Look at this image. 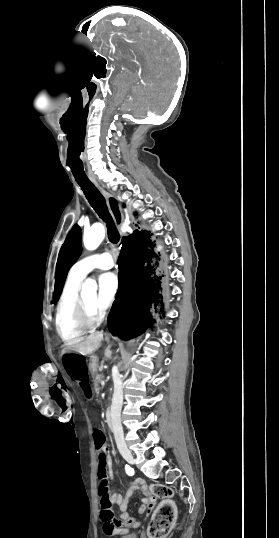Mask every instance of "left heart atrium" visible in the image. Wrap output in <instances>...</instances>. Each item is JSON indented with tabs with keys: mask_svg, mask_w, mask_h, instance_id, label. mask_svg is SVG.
<instances>
[{
	"mask_svg": "<svg viewBox=\"0 0 279 538\" xmlns=\"http://www.w3.org/2000/svg\"><path fill=\"white\" fill-rule=\"evenodd\" d=\"M100 293L98 302L101 306L109 305L119 289V277L116 272H107L99 278Z\"/></svg>",
	"mask_w": 279,
	"mask_h": 538,
	"instance_id": "1",
	"label": "left heart atrium"
}]
</instances>
